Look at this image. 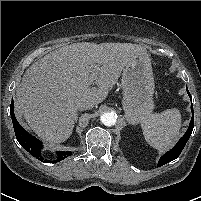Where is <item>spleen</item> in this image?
<instances>
[{
    "instance_id": "3e777b00",
    "label": "spleen",
    "mask_w": 201,
    "mask_h": 201,
    "mask_svg": "<svg viewBox=\"0 0 201 201\" xmlns=\"http://www.w3.org/2000/svg\"><path fill=\"white\" fill-rule=\"evenodd\" d=\"M141 127L145 140L150 146L158 150H166L179 136L181 114L176 108L150 114L142 121Z\"/></svg>"
}]
</instances>
